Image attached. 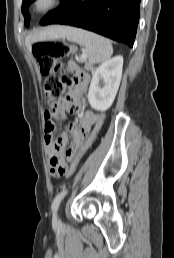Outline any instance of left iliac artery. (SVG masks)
<instances>
[{
	"instance_id": "1",
	"label": "left iliac artery",
	"mask_w": 174,
	"mask_h": 258,
	"mask_svg": "<svg viewBox=\"0 0 174 258\" xmlns=\"http://www.w3.org/2000/svg\"><path fill=\"white\" fill-rule=\"evenodd\" d=\"M67 190L63 189L61 192H59L56 197L54 198L53 202H52V211L56 212L58 210L59 204L61 202V200L64 198V196L66 195Z\"/></svg>"
}]
</instances>
